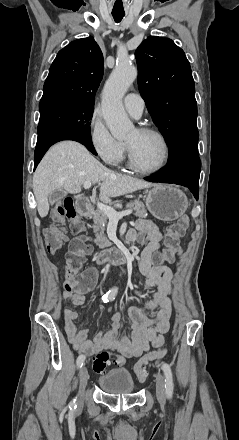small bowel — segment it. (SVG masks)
Returning <instances> with one entry per match:
<instances>
[{
	"label": "small bowel",
	"instance_id": "c3829d8e",
	"mask_svg": "<svg viewBox=\"0 0 239 440\" xmlns=\"http://www.w3.org/2000/svg\"><path fill=\"white\" fill-rule=\"evenodd\" d=\"M129 242L139 244L147 243L140 259V272L145 278V287H156L152 297L142 306H132L128 311L131 322L130 335L121 332V315L113 313L111 316V328L108 331L98 333L93 340L88 339V331L78 329L75 321L78 313L73 309L63 310L65 331L74 349L82 355H94L108 350L115 353L114 363L117 366L124 365L127 358H139L149 348L161 347L164 344L163 335L171 327L173 317L170 296L172 294L173 270L166 265L154 262L158 254L162 233L158 226L150 219H139L135 227L127 234ZM183 249L177 250L178 259L175 265H179V257ZM92 275L93 281L88 282L82 288H77L72 279L65 277L64 299L73 307H79L84 302V293L88 291L96 278L94 269H88L84 276ZM139 294V292H137ZM158 309L154 317L148 315V311Z\"/></svg>",
	"mask_w": 239,
	"mask_h": 440
}]
</instances>
